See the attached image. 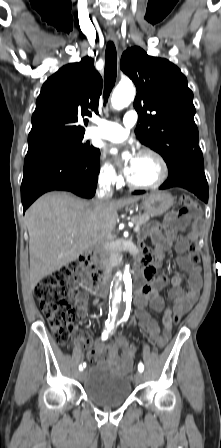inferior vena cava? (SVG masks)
<instances>
[{"instance_id":"obj_1","label":"inferior vena cava","mask_w":221,"mask_h":448,"mask_svg":"<svg viewBox=\"0 0 221 448\" xmlns=\"http://www.w3.org/2000/svg\"><path fill=\"white\" fill-rule=\"evenodd\" d=\"M113 180L114 179L112 177H107L99 182V189L97 191V197L95 201L97 207L102 206L105 202L111 199L112 192L110 191V184ZM102 244L104 245V242H102ZM99 254L101 257L105 258L108 255V249L104 246Z\"/></svg>"}]
</instances>
